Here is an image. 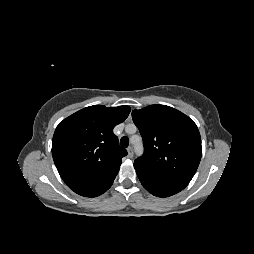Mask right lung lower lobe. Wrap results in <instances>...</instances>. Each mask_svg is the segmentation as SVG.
Here are the masks:
<instances>
[{
	"mask_svg": "<svg viewBox=\"0 0 254 254\" xmlns=\"http://www.w3.org/2000/svg\"><path fill=\"white\" fill-rule=\"evenodd\" d=\"M119 170L109 173L103 177L87 180L70 185L69 187L77 194L85 197H96L107 191Z\"/></svg>",
	"mask_w": 254,
	"mask_h": 254,
	"instance_id": "1",
	"label": "right lung lower lobe"
}]
</instances>
